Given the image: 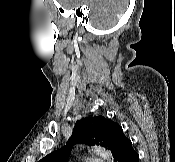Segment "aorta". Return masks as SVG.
I'll list each match as a JSON object with an SVG mask.
<instances>
[{"mask_svg": "<svg viewBox=\"0 0 175 162\" xmlns=\"http://www.w3.org/2000/svg\"><path fill=\"white\" fill-rule=\"evenodd\" d=\"M93 151L99 155L103 160H105L106 162H112V155L109 151H107L106 149L102 148V147H94Z\"/></svg>", "mask_w": 175, "mask_h": 162, "instance_id": "1", "label": "aorta"}]
</instances>
